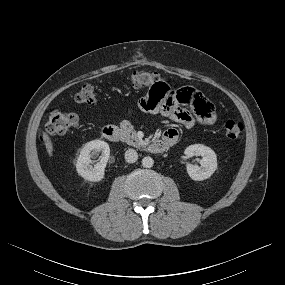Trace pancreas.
I'll return each mask as SVG.
<instances>
[{"instance_id": "pancreas-1", "label": "pancreas", "mask_w": 285, "mask_h": 285, "mask_svg": "<svg viewBox=\"0 0 285 285\" xmlns=\"http://www.w3.org/2000/svg\"><path fill=\"white\" fill-rule=\"evenodd\" d=\"M120 127L123 133L124 142L136 148H139L143 145L142 142L138 140L136 131L133 129V126L129 122L121 123Z\"/></svg>"}]
</instances>
